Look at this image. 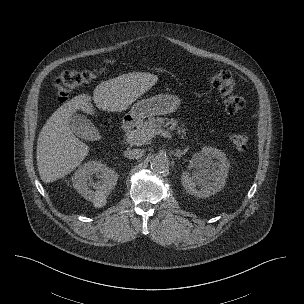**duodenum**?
Wrapping results in <instances>:
<instances>
[{
  "label": "duodenum",
  "mask_w": 304,
  "mask_h": 304,
  "mask_svg": "<svg viewBox=\"0 0 304 304\" xmlns=\"http://www.w3.org/2000/svg\"><path fill=\"white\" fill-rule=\"evenodd\" d=\"M135 124V119L132 117H127L122 123V133L126 134Z\"/></svg>",
  "instance_id": "1"
}]
</instances>
